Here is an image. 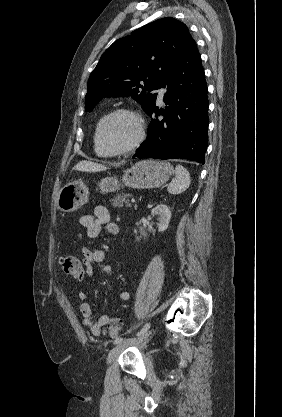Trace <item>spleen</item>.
<instances>
[{"mask_svg":"<svg viewBox=\"0 0 282 417\" xmlns=\"http://www.w3.org/2000/svg\"><path fill=\"white\" fill-rule=\"evenodd\" d=\"M176 178H173L168 184V190L171 194H180L183 190H186L190 184V176L187 168H184L182 164L175 166Z\"/></svg>","mask_w":282,"mask_h":417,"instance_id":"3e777b00","label":"spleen"}]
</instances>
